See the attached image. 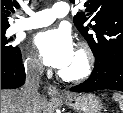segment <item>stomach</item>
Listing matches in <instances>:
<instances>
[{"mask_svg": "<svg viewBox=\"0 0 123 113\" xmlns=\"http://www.w3.org/2000/svg\"><path fill=\"white\" fill-rule=\"evenodd\" d=\"M61 100L70 108L79 113H100L102 109L101 101L92 94L67 95L61 97Z\"/></svg>", "mask_w": 123, "mask_h": 113, "instance_id": "1", "label": "stomach"}]
</instances>
